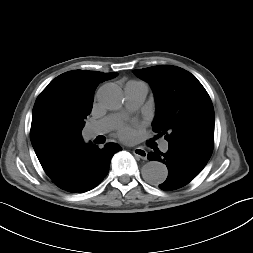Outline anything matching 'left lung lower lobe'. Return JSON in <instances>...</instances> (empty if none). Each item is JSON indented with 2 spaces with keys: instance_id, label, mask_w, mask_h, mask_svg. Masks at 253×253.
Listing matches in <instances>:
<instances>
[{
  "instance_id": "obj_1",
  "label": "left lung lower lobe",
  "mask_w": 253,
  "mask_h": 253,
  "mask_svg": "<svg viewBox=\"0 0 253 253\" xmlns=\"http://www.w3.org/2000/svg\"><path fill=\"white\" fill-rule=\"evenodd\" d=\"M148 154L149 160L164 163L168 177L159 185L162 190H175L193 180L205 167L212 151L186 142H169L168 151L154 150Z\"/></svg>"
}]
</instances>
